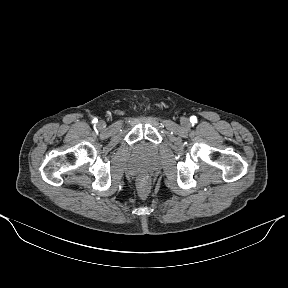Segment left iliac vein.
<instances>
[{
	"label": "left iliac vein",
	"mask_w": 288,
	"mask_h": 288,
	"mask_svg": "<svg viewBox=\"0 0 288 288\" xmlns=\"http://www.w3.org/2000/svg\"><path fill=\"white\" fill-rule=\"evenodd\" d=\"M182 125H183L184 127H188V126L190 125L188 119H183V120H182Z\"/></svg>",
	"instance_id": "left-iliac-vein-1"
}]
</instances>
